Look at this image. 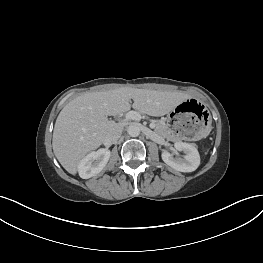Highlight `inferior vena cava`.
<instances>
[{"label": "inferior vena cava", "instance_id": "inferior-vena-cava-1", "mask_svg": "<svg viewBox=\"0 0 263 263\" xmlns=\"http://www.w3.org/2000/svg\"><path fill=\"white\" fill-rule=\"evenodd\" d=\"M123 128L120 126L115 127L108 133L107 140L115 143L122 135Z\"/></svg>", "mask_w": 263, "mask_h": 263}]
</instances>
